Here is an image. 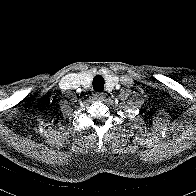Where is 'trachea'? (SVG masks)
I'll return each mask as SVG.
<instances>
[{
  "mask_svg": "<svg viewBox=\"0 0 196 196\" xmlns=\"http://www.w3.org/2000/svg\"><path fill=\"white\" fill-rule=\"evenodd\" d=\"M104 78L101 75H96L93 79V89L97 92H102L104 89Z\"/></svg>",
  "mask_w": 196,
  "mask_h": 196,
  "instance_id": "1",
  "label": "trachea"
}]
</instances>
